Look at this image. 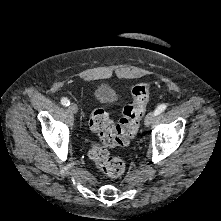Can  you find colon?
<instances>
[{
	"label": "colon",
	"mask_w": 221,
	"mask_h": 221,
	"mask_svg": "<svg viewBox=\"0 0 221 221\" xmlns=\"http://www.w3.org/2000/svg\"><path fill=\"white\" fill-rule=\"evenodd\" d=\"M131 96L132 101L124 107L117 125L102 108H96L91 113L90 128L98 134L101 144L95 143L91 147L89 158L109 178L120 177L125 171V164L120 158L111 156L108 148L127 146L136 136L149 101V86L145 83L135 85Z\"/></svg>",
	"instance_id": "5ec220e1"
}]
</instances>
